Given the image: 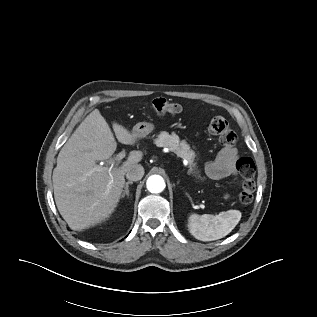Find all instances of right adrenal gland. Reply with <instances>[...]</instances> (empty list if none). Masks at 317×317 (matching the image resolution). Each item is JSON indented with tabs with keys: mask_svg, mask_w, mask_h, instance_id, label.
I'll return each instance as SVG.
<instances>
[{
	"mask_svg": "<svg viewBox=\"0 0 317 317\" xmlns=\"http://www.w3.org/2000/svg\"><path fill=\"white\" fill-rule=\"evenodd\" d=\"M133 182L132 181H128L126 182L125 184V190L123 191L122 195H121V198H124L125 195L126 196H129V184H132Z\"/></svg>",
	"mask_w": 317,
	"mask_h": 317,
	"instance_id": "obj_1",
	"label": "right adrenal gland"
}]
</instances>
